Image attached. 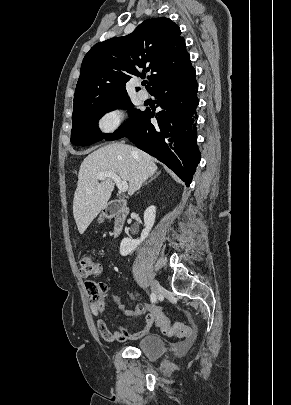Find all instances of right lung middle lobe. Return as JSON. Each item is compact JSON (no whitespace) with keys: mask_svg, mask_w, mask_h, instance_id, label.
Masks as SVG:
<instances>
[{"mask_svg":"<svg viewBox=\"0 0 291 405\" xmlns=\"http://www.w3.org/2000/svg\"><path fill=\"white\" fill-rule=\"evenodd\" d=\"M128 96L112 101L85 107L72 115L71 143L77 146L90 145L102 139L116 140L124 137L137 124L144 111L132 108ZM128 109L130 118L113 134H105L99 130L98 120L107 112L117 109Z\"/></svg>","mask_w":291,"mask_h":405,"instance_id":"dd1d6c3e","label":"right lung middle lobe"}]
</instances>
